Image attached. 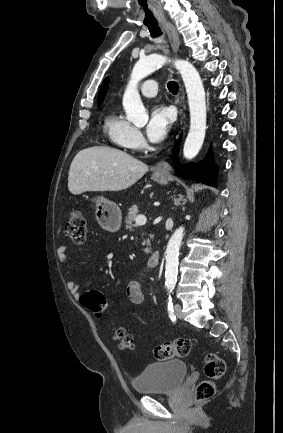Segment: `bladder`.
Instances as JSON below:
<instances>
[{
    "label": "bladder",
    "mask_w": 283,
    "mask_h": 433,
    "mask_svg": "<svg viewBox=\"0 0 283 433\" xmlns=\"http://www.w3.org/2000/svg\"><path fill=\"white\" fill-rule=\"evenodd\" d=\"M188 371L187 364L180 360L154 362L133 379L137 393L177 391Z\"/></svg>",
    "instance_id": "bladder-1"
}]
</instances>
